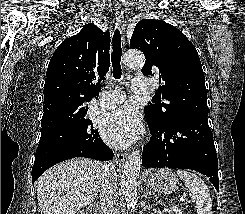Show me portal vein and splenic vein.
I'll return each instance as SVG.
<instances>
[{"mask_svg": "<svg viewBox=\"0 0 245 214\" xmlns=\"http://www.w3.org/2000/svg\"><path fill=\"white\" fill-rule=\"evenodd\" d=\"M187 200V198L185 197V195L184 196H182L180 199H179V201H186Z\"/></svg>", "mask_w": 245, "mask_h": 214, "instance_id": "1", "label": "portal vein and splenic vein"}]
</instances>
